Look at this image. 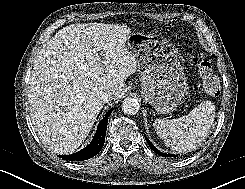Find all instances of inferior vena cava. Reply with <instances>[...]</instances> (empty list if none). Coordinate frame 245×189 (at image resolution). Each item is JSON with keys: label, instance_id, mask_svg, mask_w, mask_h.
<instances>
[{"label": "inferior vena cava", "instance_id": "obj_1", "mask_svg": "<svg viewBox=\"0 0 245 189\" xmlns=\"http://www.w3.org/2000/svg\"><path fill=\"white\" fill-rule=\"evenodd\" d=\"M113 95H114V92L112 91V90H106V91H104L103 92V94H102V99L104 100V101H108V100H111L112 99V97H113Z\"/></svg>", "mask_w": 245, "mask_h": 189}]
</instances>
